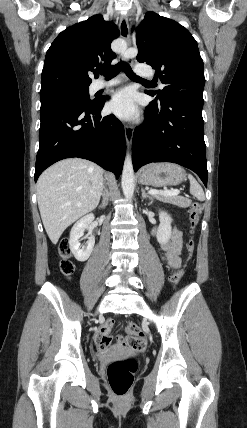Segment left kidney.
<instances>
[{"instance_id": "5707ae66", "label": "left kidney", "mask_w": 247, "mask_h": 428, "mask_svg": "<svg viewBox=\"0 0 247 428\" xmlns=\"http://www.w3.org/2000/svg\"><path fill=\"white\" fill-rule=\"evenodd\" d=\"M159 219L160 225L157 230V241L160 244H165L171 237V218L166 212H161Z\"/></svg>"}]
</instances>
